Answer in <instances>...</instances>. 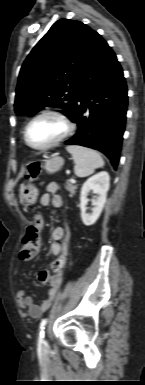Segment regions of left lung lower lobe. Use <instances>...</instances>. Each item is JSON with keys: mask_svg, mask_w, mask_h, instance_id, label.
<instances>
[{"mask_svg": "<svg viewBox=\"0 0 145 385\" xmlns=\"http://www.w3.org/2000/svg\"><path fill=\"white\" fill-rule=\"evenodd\" d=\"M128 104L127 85L116 55L97 33L79 82L77 106L71 120L78 125L65 144L104 153L118 165Z\"/></svg>", "mask_w": 145, "mask_h": 385, "instance_id": "obj_1", "label": "left lung lower lobe"}]
</instances>
